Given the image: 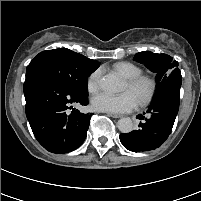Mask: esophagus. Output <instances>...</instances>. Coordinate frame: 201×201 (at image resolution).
<instances>
[{
  "label": "esophagus",
  "instance_id": "1",
  "mask_svg": "<svg viewBox=\"0 0 201 201\" xmlns=\"http://www.w3.org/2000/svg\"><path fill=\"white\" fill-rule=\"evenodd\" d=\"M108 116L113 117V118H120L121 117V115L114 114V113H108Z\"/></svg>",
  "mask_w": 201,
  "mask_h": 201
}]
</instances>
